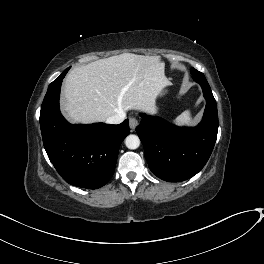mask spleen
<instances>
[{
  "label": "spleen",
  "instance_id": "1",
  "mask_svg": "<svg viewBox=\"0 0 264 264\" xmlns=\"http://www.w3.org/2000/svg\"><path fill=\"white\" fill-rule=\"evenodd\" d=\"M174 124L178 126H185V125H192L193 124V119L191 116V111L186 110L182 114H180L178 117H176L173 120Z\"/></svg>",
  "mask_w": 264,
  "mask_h": 264
}]
</instances>
